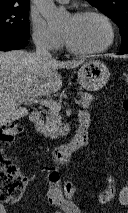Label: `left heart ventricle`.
<instances>
[{
  "label": "left heart ventricle",
  "instance_id": "b2bd125f",
  "mask_svg": "<svg viewBox=\"0 0 128 213\" xmlns=\"http://www.w3.org/2000/svg\"><path fill=\"white\" fill-rule=\"evenodd\" d=\"M62 33L80 49H98L106 44L109 29L106 23L96 16H86L80 19L70 17L62 27Z\"/></svg>",
  "mask_w": 128,
  "mask_h": 213
}]
</instances>
